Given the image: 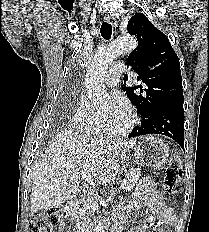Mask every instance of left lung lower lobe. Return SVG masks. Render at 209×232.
I'll list each match as a JSON object with an SVG mask.
<instances>
[{"label":"left lung lower lobe","mask_w":209,"mask_h":232,"mask_svg":"<svg viewBox=\"0 0 209 232\" xmlns=\"http://www.w3.org/2000/svg\"><path fill=\"white\" fill-rule=\"evenodd\" d=\"M161 134L175 140L184 150V110L183 104L163 107L154 111L141 125L133 128L129 138Z\"/></svg>","instance_id":"1"}]
</instances>
